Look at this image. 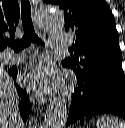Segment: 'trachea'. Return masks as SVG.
Masks as SVG:
<instances>
[{"instance_id":"3493384b","label":"trachea","mask_w":125,"mask_h":128,"mask_svg":"<svg viewBox=\"0 0 125 128\" xmlns=\"http://www.w3.org/2000/svg\"><path fill=\"white\" fill-rule=\"evenodd\" d=\"M21 16L24 36L20 40L7 43L8 46L12 48L15 52L26 48L31 43H37L40 45L44 44L35 33L32 22L31 5L29 0H21Z\"/></svg>"}]
</instances>
